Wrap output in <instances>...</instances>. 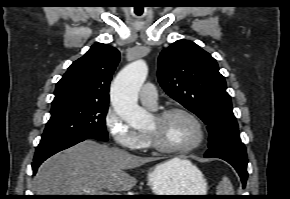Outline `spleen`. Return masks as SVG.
Instances as JSON below:
<instances>
[{"label":"spleen","mask_w":290,"mask_h":199,"mask_svg":"<svg viewBox=\"0 0 290 199\" xmlns=\"http://www.w3.org/2000/svg\"><path fill=\"white\" fill-rule=\"evenodd\" d=\"M217 195H234L230 180L224 176L217 186Z\"/></svg>","instance_id":"3e777b00"}]
</instances>
